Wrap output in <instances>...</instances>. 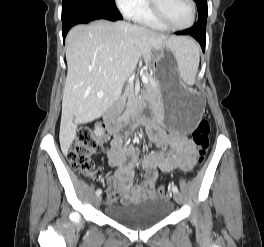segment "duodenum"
<instances>
[{"mask_svg":"<svg viewBox=\"0 0 264 247\" xmlns=\"http://www.w3.org/2000/svg\"><path fill=\"white\" fill-rule=\"evenodd\" d=\"M118 106L114 104L110 106L104 114V122L108 132L113 136H121L129 132L134 127L149 121L148 114L142 112L140 109H135L125 120L122 122L117 120Z\"/></svg>","mask_w":264,"mask_h":247,"instance_id":"duodenum-1","label":"duodenum"}]
</instances>
